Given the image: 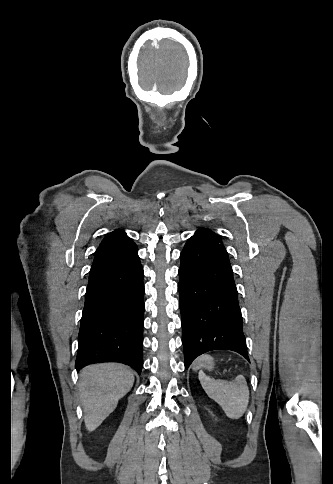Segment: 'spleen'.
<instances>
[{
    "instance_id": "obj_1",
    "label": "spleen",
    "mask_w": 333,
    "mask_h": 484,
    "mask_svg": "<svg viewBox=\"0 0 333 484\" xmlns=\"http://www.w3.org/2000/svg\"><path fill=\"white\" fill-rule=\"evenodd\" d=\"M198 377L208 397L222 408L228 418L239 419L243 416L249 403V389L243 375H238L232 381H224L211 379L200 371Z\"/></svg>"
}]
</instances>
